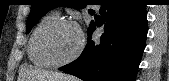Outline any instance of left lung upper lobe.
<instances>
[{"label": "left lung upper lobe", "mask_w": 169, "mask_h": 81, "mask_svg": "<svg viewBox=\"0 0 169 81\" xmlns=\"http://www.w3.org/2000/svg\"><path fill=\"white\" fill-rule=\"evenodd\" d=\"M31 12L27 19V30L26 33H29L32 27L43 17L49 10L57 6H68L75 7L80 5H60L58 0H31ZM78 8V7H77ZM93 21L90 24L89 29L91 28ZM88 29V30H89Z\"/></svg>", "instance_id": "1"}]
</instances>
